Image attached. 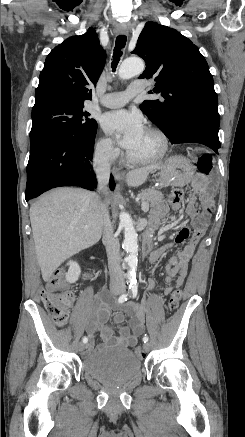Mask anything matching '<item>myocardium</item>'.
I'll return each mask as SVG.
<instances>
[{
    "instance_id": "obj_1",
    "label": "myocardium",
    "mask_w": 245,
    "mask_h": 437,
    "mask_svg": "<svg viewBox=\"0 0 245 437\" xmlns=\"http://www.w3.org/2000/svg\"><path fill=\"white\" fill-rule=\"evenodd\" d=\"M146 131L156 135L159 138L160 148L154 155L145 158H137V157H133L131 154H128V159L132 163L135 164L155 163L162 160L168 153L170 142L166 133L162 129L154 126H149L146 129Z\"/></svg>"
}]
</instances>
